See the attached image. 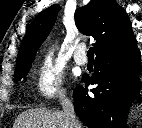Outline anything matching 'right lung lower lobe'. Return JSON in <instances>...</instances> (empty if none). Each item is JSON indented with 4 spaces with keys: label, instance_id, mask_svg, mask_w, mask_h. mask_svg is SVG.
<instances>
[{
    "label": "right lung lower lobe",
    "instance_id": "98d812e1",
    "mask_svg": "<svg viewBox=\"0 0 142 128\" xmlns=\"http://www.w3.org/2000/svg\"><path fill=\"white\" fill-rule=\"evenodd\" d=\"M140 52L136 40L122 49L95 60V73L89 84H98L91 89L77 87L74 92V107L77 116L89 128H126L127 113L133 100L142 101L136 95L142 82Z\"/></svg>",
    "mask_w": 142,
    "mask_h": 128
}]
</instances>
